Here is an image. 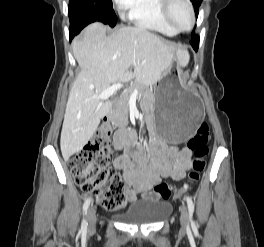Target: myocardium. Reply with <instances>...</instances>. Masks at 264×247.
I'll return each mask as SVG.
<instances>
[{
    "mask_svg": "<svg viewBox=\"0 0 264 247\" xmlns=\"http://www.w3.org/2000/svg\"><path fill=\"white\" fill-rule=\"evenodd\" d=\"M182 1L188 6L190 14H191V22L185 28L178 27L172 18V7H173V4L176 2V0H162V5H161L162 13L165 19L175 29L176 32H185V31L190 30L194 26L195 21H196V13H195V9H194V6L191 0H182Z\"/></svg>",
    "mask_w": 264,
    "mask_h": 247,
    "instance_id": "1",
    "label": "myocardium"
}]
</instances>
